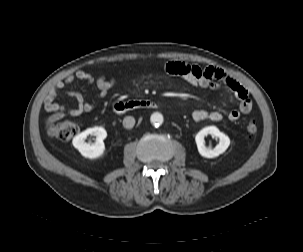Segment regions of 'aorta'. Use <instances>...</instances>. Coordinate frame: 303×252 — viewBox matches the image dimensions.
Returning <instances> with one entry per match:
<instances>
[{"instance_id":"1","label":"aorta","mask_w":303,"mask_h":252,"mask_svg":"<svg viewBox=\"0 0 303 252\" xmlns=\"http://www.w3.org/2000/svg\"><path fill=\"white\" fill-rule=\"evenodd\" d=\"M150 121L155 126H160L163 123V115L155 112L151 115Z\"/></svg>"}]
</instances>
